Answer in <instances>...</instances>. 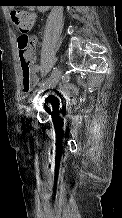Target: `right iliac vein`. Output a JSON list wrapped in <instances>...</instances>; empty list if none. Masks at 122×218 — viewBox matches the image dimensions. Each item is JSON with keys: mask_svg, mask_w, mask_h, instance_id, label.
I'll return each mask as SVG.
<instances>
[{"mask_svg": "<svg viewBox=\"0 0 122 218\" xmlns=\"http://www.w3.org/2000/svg\"><path fill=\"white\" fill-rule=\"evenodd\" d=\"M56 74L55 76L48 82V84L42 89L41 93H43L44 91H46L47 89H53L59 82L60 77H61V71L59 68H56ZM40 93V94H41ZM39 95L33 100L31 106H29L28 108V113H27V117L29 118L32 115V110L34 108V106L37 103V99H38Z\"/></svg>", "mask_w": 122, "mask_h": 218, "instance_id": "obj_1", "label": "right iliac vein"}]
</instances>
